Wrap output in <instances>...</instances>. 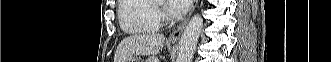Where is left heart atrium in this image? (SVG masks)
Wrapping results in <instances>:
<instances>
[{
	"label": "left heart atrium",
	"instance_id": "1",
	"mask_svg": "<svg viewBox=\"0 0 331 62\" xmlns=\"http://www.w3.org/2000/svg\"><path fill=\"white\" fill-rule=\"evenodd\" d=\"M191 0H168L167 8L173 14H182L190 6Z\"/></svg>",
	"mask_w": 331,
	"mask_h": 62
}]
</instances>
